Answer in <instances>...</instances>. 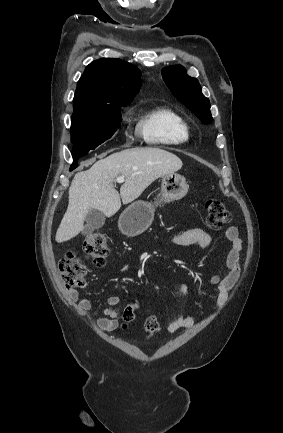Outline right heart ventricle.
Instances as JSON below:
<instances>
[{
	"label": "right heart ventricle",
	"mask_w": 283,
	"mask_h": 433,
	"mask_svg": "<svg viewBox=\"0 0 283 433\" xmlns=\"http://www.w3.org/2000/svg\"><path fill=\"white\" fill-rule=\"evenodd\" d=\"M135 129L149 144L179 145L189 139L185 119L168 108H157L136 115Z\"/></svg>",
	"instance_id": "1"
}]
</instances>
